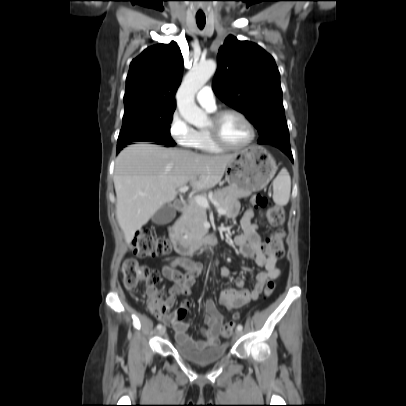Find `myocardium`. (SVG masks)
I'll use <instances>...</instances> for the list:
<instances>
[{"mask_svg":"<svg viewBox=\"0 0 406 406\" xmlns=\"http://www.w3.org/2000/svg\"><path fill=\"white\" fill-rule=\"evenodd\" d=\"M226 114H234L238 116L248 127L249 129V138L248 140L241 144V145H230L227 144L221 137L220 131H219V123L220 120L223 118L224 115ZM211 126L207 127V132L210 135L212 141L221 149L224 150H242L247 147H249L255 140L256 138V130L251 122V120L240 110L235 109V108H223L220 110H217L212 113L211 115Z\"/></svg>","mask_w":406,"mask_h":406,"instance_id":"obj_1","label":"myocardium"}]
</instances>
